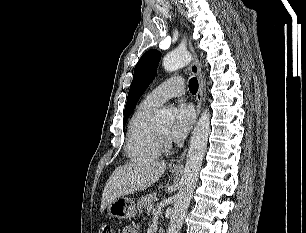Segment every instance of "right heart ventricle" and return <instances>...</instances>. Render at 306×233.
Wrapping results in <instances>:
<instances>
[{"label": "right heart ventricle", "mask_w": 306, "mask_h": 233, "mask_svg": "<svg viewBox=\"0 0 306 233\" xmlns=\"http://www.w3.org/2000/svg\"><path fill=\"white\" fill-rule=\"evenodd\" d=\"M157 107L143 100L129 121L125 151L131 160L146 161L161 154L152 121Z\"/></svg>", "instance_id": "e07e8e85"}]
</instances>
